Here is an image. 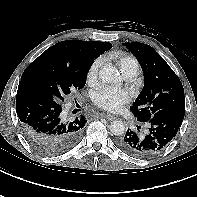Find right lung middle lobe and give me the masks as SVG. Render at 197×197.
Returning <instances> with one entry per match:
<instances>
[{"instance_id":"1","label":"right lung middle lobe","mask_w":197,"mask_h":197,"mask_svg":"<svg viewBox=\"0 0 197 197\" xmlns=\"http://www.w3.org/2000/svg\"><path fill=\"white\" fill-rule=\"evenodd\" d=\"M91 64L68 66L42 53L26 68L21 82L46 89L58 103H62L71 91L84 87Z\"/></svg>"}]
</instances>
